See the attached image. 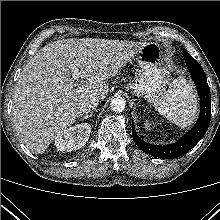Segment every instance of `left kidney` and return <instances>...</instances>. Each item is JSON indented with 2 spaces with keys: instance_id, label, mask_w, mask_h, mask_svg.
<instances>
[{
  "instance_id": "5707ae66",
  "label": "left kidney",
  "mask_w": 220,
  "mask_h": 220,
  "mask_svg": "<svg viewBox=\"0 0 220 220\" xmlns=\"http://www.w3.org/2000/svg\"><path fill=\"white\" fill-rule=\"evenodd\" d=\"M145 126H146V128H149V124L148 123H145Z\"/></svg>"
}]
</instances>
